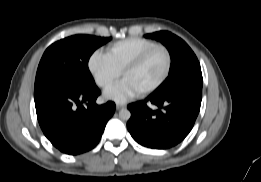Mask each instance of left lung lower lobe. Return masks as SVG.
Wrapping results in <instances>:
<instances>
[{
  "label": "left lung lower lobe",
  "instance_id": "0a47b994",
  "mask_svg": "<svg viewBox=\"0 0 261 182\" xmlns=\"http://www.w3.org/2000/svg\"><path fill=\"white\" fill-rule=\"evenodd\" d=\"M202 86H193L166 97L151 94L128 105L127 128L139 144L167 149L180 143L191 131L200 110ZM158 108L152 110L149 104Z\"/></svg>",
  "mask_w": 261,
  "mask_h": 182
}]
</instances>
